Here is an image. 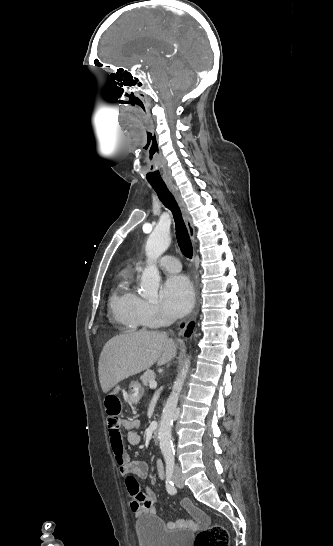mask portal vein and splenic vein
Instances as JSON below:
<instances>
[{
	"instance_id": "1",
	"label": "portal vein and splenic vein",
	"mask_w": 333,
	"mask_h": 546,
	"mask_svg": "<svg viewBox=\"0 0 333 546\" xmlns=\"http://www.w3.org/2000/svg\"><path fill=\"white\" fill-rule=\"evenodd\" d=\"M149 387H150L151 389L156 388V387H157V382H156L155 380L151 381V382L149 383Z\"/></svg>"
}]
</instances>
